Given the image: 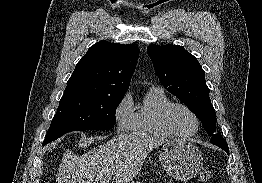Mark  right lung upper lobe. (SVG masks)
Instances as JSON below:
<instances>
[{"label":"right lung upper lobe","instance_id":"right-lung-upper-lobe-1","mask_svg":"<svg viewBox=\"0 0 262 183\" xmlns=\"http://www.w3.org/2000/svg\"><path fill=\"white\" fill-rule=\"evenodd\" d=\"M139 48L100 41L77 63L64 94L86 92L123 96L135 70Z\"/></svg>","mask_w":262,"mask_h":183}]
</instances>
